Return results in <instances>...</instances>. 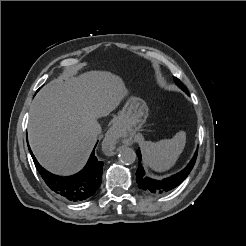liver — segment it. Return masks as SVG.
I'll return each mask as SVG.
<instances>
[{"label":"liver","instance_id":"obj_1","mask_svg":"<svg viewBox=\"0 0 246 246\" xmlns=\"http://www.w3.org/2000/svg\"><path fill=\"white\" fill-rule=\"evenodd\" d=\"M127 94L122 79L90 71L58 78L36 95L29 114V143L39 163L70 175L86 163L97 136L91 122L115 110Z\"/></svg>","mask_w":246,"mask_h":246}]
</instances>
